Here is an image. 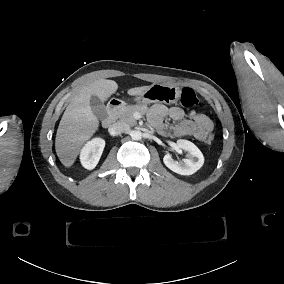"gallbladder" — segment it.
Listing matches in <instances>:
<instances>
[{"label": "gallbladder", "instance_id": "1", "mask_svg": "<svg viewBox=\"0 0 284 284\" xmlns=\"http://www.w3.org/2000/svg\"><path fill=\"white\" fill-rule=\"evenodd\" d=\"M91 109L93 114L100 120H104L107 118V110L102 101H100L97 97L92 96L90 99Z\"/></svg>", "mask_w": 284, "mask_h": 284}]
</instances>
